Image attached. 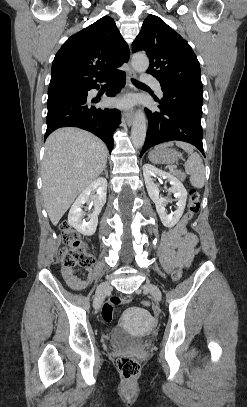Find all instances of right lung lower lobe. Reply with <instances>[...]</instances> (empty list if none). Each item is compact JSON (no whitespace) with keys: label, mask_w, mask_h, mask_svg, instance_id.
I'll list each match as a JSON object with an SVG mask.
<instances>
[{"label":"right lung lower lobe","mask_w":247,"mask_h":407,"mask_svg":"<svg viewBox=\"0 0 247 407\" xmlns=\"http://www.w3.org/2000/svg\"><path fill=\"white\" fill-rule=\"evenodd\" d=\"M99 82H109L110 88L108 96H115L126 82L125 73L116 70ZM99 88L97 82L89 87ZM97 101L85 98L66 99L51 105H47V130L44 139L51 132L60 127L74 126L90 131L102 139L111 152L113 143V133L121 121L120 111L117 109H97L94 104Z\"/></svg>","instance_id":"1"}]
</instances>
